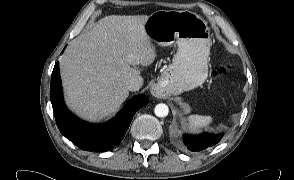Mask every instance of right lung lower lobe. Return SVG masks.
Returning a JSON list of instances; mask_svg holds the SVG:
<instances>
[{"instance_id":"obj_1","label":"right lung lower lobe","mask_w":294,"mask_h":180,"mask_svg":"<svg viewBox=\"0 0 294 180\" xmlns=\"http://www.w3.org/2000/svg\"><path fill=\"white\" fill-rule=\"evenodd\" d=\"M50 99L61 133L82 150L95 152L108 151L120 143L133 115L149 101L146 96H136L114 120L108 123L92 125L83 122L74 117L64 104L58 63L55 64L52 72Z\"/></svg>"}]
</instances>
